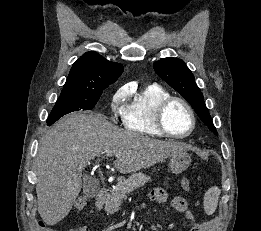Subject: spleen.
<instances>
[{"label":"spleen","instance_id":"1","mask_svg":"<svg viewBox=\"0 0 261 231\" xmlns=\"http://www.w3.org/2000/svg\"><path fill=\"white\" fill-rule=\"evenodd\" d=\"M220 189L218 187H211L204 195V210L210 215L213 214L217 208Z\"/></svg>","mask_w":261,"mask_h":231}]
</instances>
